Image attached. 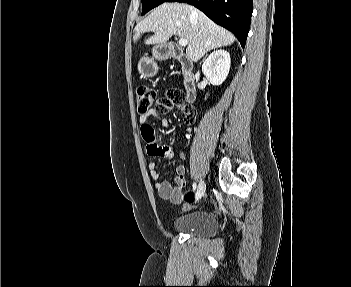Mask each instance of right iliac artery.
Segmentation results:
<instances>
[{
	"label": "right iliac artery",
	"instance_id": "obj_1",
	"mask_svg": "<svg viewBox=\"0 0 351 287\" xmlns=\"http://www.w3.org/2000/svg\"><path fill=\"white\" fill-rule=\"evenodd\" d=\"M196 189V183H193V190L195 191Z\"/></svg>",
	"mask_w": 351,
	"mask_h": 287
}]
</instances>
